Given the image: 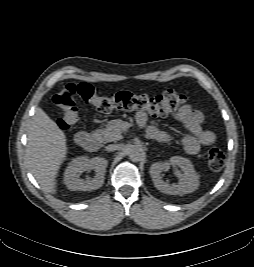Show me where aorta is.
<instances>
[{
  "label": "aorta",
  "instance_id": "1",
  "mask_svg": "<svg viewBox=\"0 0 254 267\" xmlns=\"http://www.w3.org/2000/svg\"><path fill=\"white\" fill-rule=\"evenodd\" d=\"M127 154L129 156L130 160L133 161V162L140 161L144 156L143 151L140 148L135 147L133 145H130L128 147Z\"/></svg>",
  "mask_w": 254,
  "mask_h": 267
}]
</instances>
